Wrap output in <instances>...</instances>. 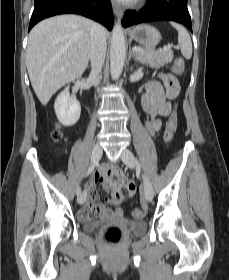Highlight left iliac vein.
Segmentation results:
<instances>
[{"mask_svg":"<svg viewBox=\"0 0 229 280\" xmlns=\"http://www.w3.org/2000/svg\"><path fill=\"white\" fill-rule=\"evenodd\" d=\"M121 160L127 167H129L131 169H134L137 166L136 159H135L133 153L127 148H125L122 151ZM142 179H143V188H144V198L147 202H150L153 199L152 184H151L149 178L145 174H142Z\"/></svg>","mask_w":229,"mask_h":280,"instance_id":"left-iliac-vein-1","label":"left iliac vein"}]
</instances>
